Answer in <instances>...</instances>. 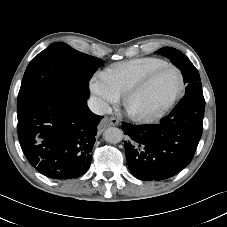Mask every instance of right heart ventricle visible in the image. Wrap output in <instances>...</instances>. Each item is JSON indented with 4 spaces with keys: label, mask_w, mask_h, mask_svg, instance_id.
<instances>
[{
    "label": "right heart ventricle",
    "mask_w": 227,
    "mask_h": 227,
    "mask_svg": "<svg viewBox=\"0 0 227 227\" xmlns=\"http://www.w3.org/2000/svg\"><path fill=\"white\" fill-rule=\"evenodd\" d=\"M168 64L157 57H143L117 63L104 73L118 94L124 95L151 71Z\"/></svg>",
    "instance_id": "1"
}]
</instances>
